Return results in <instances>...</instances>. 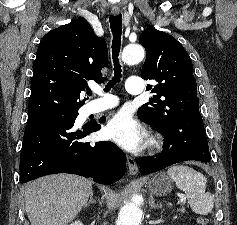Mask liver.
I'll return each mask as SVG.
<instances>
[{
	"mask_svg": "<svg viewBox=\"0 0 237 225\" xmlns=\"http://www.w3.org/2000/svg\"><path fill=\"white\" fill-rule=\"evenodd\" d=\"M92 193V182L71 174L41 177L24 186L25 210L31 225H67Z\"/></svg>",
	"mask_w": 237,
	"mask_h": 225,
	"instance_id": "6515ba94",
	"label": "liver"
}]
</instances>
